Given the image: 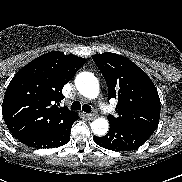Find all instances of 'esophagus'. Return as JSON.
<instances>
[{"label": "esophagus", "mask_w": 182, "mask_h": 182, "mask_svg": "<svg viewBox=\"0 0 182 182\" xmlns=\"http://www.w3.org/2000/svg\"><path fill=\"white\" fill-rule=\"evenodd\" d=\"M89 120H93L96 118V115L95 114H86L85 115Z\"/></svg>", "instance_id": "34e87169"}]
</instances>
